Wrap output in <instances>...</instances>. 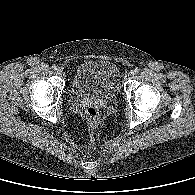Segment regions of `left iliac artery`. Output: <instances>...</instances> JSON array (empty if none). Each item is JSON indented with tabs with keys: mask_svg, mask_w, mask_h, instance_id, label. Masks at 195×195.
Returning <instances> with one entry per match:
<instances>
[{
	"mask_svg": "<svg viewBox=\"0 0 195 195\" xmlns=\"http://www.w3.org/2000/svg\"><path fill=\"white\" fill-rule=\"evenodd\" d=\"M138 72H139V70L137 68L134 69V71H133L134 74H137Z\"/></svg>",
	"mask_w": 195,
	"mask_h": 195,
	"instance_id": "44dca946",
	"label": "left iliac artery"
}]
</instances>
